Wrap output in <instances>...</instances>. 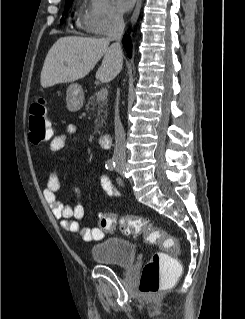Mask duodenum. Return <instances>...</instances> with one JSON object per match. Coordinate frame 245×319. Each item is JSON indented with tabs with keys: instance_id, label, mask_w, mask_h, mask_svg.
Returning a JSON list of instances; mask_svg holds the SVG:
<instances>
[{
	"instance_id": "1",
	"label": "duodenum",
	"mask_w": 245,
	"mask_h": 319,
	"mask_svg": "<svg viewBox=\"0 0 245 319\" xmlns=\"http://www.w3.org/2000/svg\"><path fill=\"white\" fill-rule=\"evenodd\" d=\"M111 135L108 133H104L100 136L99 142L102 148L109 149L111 147Z\"/></svg>"
}]
</instances>
